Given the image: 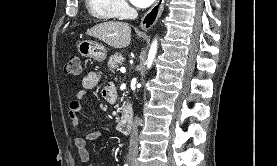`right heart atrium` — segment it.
<instances>
[{
    "instance_id": "d8ad5b80",
    "label": "right heart atrium",
    "mask_w": 277,
    "mask_h": 166,
    "mask_svg": "<svg viewBox=\"0 0 277 166\" xmlns=\"http://www.w3.org/2000/svg\"><path fill=\"white\" fill-rule=\"evenodd\" d=\"M114 2L120 15H126L130 12V7L125 0H114Z\"/></svg>"
}]
</instances>
